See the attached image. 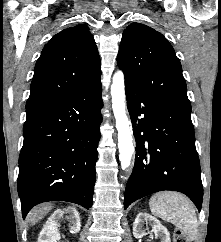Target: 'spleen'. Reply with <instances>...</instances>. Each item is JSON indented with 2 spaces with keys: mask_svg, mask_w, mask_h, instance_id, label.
<instances>
[{
  "mask_svg": "<svg viewBox=\"0 0 221 242\" xmlns=\"http://www.w3.org/2000/svg\"><path fill=\"white\" fill-rule=\"evenodd\" d=\"M151 213L181 229L190 240L198 235V223L191 201L183 194L171 191L154 194L149 200Z\"/></svg>",
  "mask_w": 221,
  "mask_h": 242,
  "instance_id": "1",
  "label": "spleen"
}]
</instances>
